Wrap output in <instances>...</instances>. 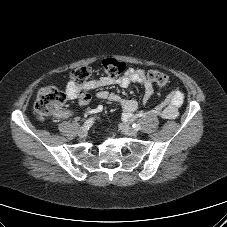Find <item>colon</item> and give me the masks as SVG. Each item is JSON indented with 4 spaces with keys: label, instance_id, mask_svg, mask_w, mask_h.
Instances as JSON below:
<instances>
[{
    "label": "colon",
    "instance_id": "obj_1",
    "mask_svg": "<svg viewBox=\"0 0 227 227\" xmlns=\"http://www.w3.org/2000/svg\"><path fill=\"white\" fill-rule=\"evenodd\" d=\"M102 69L106 76L115 78L128 70L124 62L113 58H107L102 62ZM91 75V69L88 66H82L75 69L71 77L76 84L85 83ZM148 79L159 86L168 83V76L157 70H150L147 73ZM67 101L66 94L54 85H47L38 92L34 113L38 120L45 121L48 118L59 115Z\"/></svg>",
    "mask_w": 227,
    "mask_h": 227
}]
</instances>
